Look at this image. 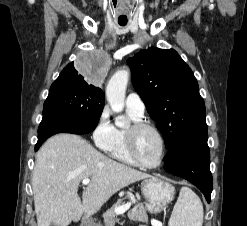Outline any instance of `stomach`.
Instances as JSON below:
<instances>
[{"label": "stomach", "instance_id": "0dacf381", "mask_svg": "<svg viewBox=\"0 0 247 226\" xmlns=\"http://www.w3.org/2000/svg\"><path fill=\"white\" fill-rule=\"evenodd\" d=\"M141 191L147 200L146 208L151 213H160L173 200L175 195L174 186L159 177H150L143 180Z\"/></svg>", "mask_w": 247, "mask_h": 226}]
</instances>
